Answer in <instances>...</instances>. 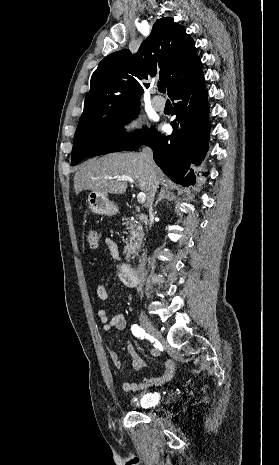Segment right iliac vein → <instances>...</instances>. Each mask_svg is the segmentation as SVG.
<instances>
[{
    "mask_svg": "<svg viewBox=\"0 0 279 465\" xmlns=\"http://www.w3.org/2000/svg\"><path fill=\"white\" fill-rule=\"evenodd\" d=\"M139 321H140V324L142 325V327L145 329V331L148 334H151V335H153L155 337L159 336L158 331L156 330L153 323L151 322V320L148 318V316L144 312L140 313Z\"/></svg>",
    "mask_w": 279,
    "mask_h": 465,
    "instance_id": "1",
    "label": "right iliac vein"
}]
</instances>
